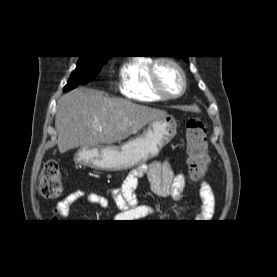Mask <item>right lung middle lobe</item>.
<instances>
[{
	"label": "right lung middle lobe",
	"instance_id": "right-lung-middle-lobe-1",
	"mask_svg": "<svg viewBox=\"0 0 277 277\" xmlns=\"http://www.w3.org/2000/svg\"><path fill=\"white\" fill-rule=\"evenodd\" d=\"M111 56H80L76 69L72 72L63 91H70L79 84L92 80Z\"/></svg>",
	"mask_w": 277,
	"mask_h": 277
}]
</instances>
